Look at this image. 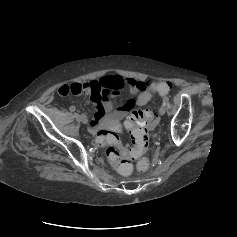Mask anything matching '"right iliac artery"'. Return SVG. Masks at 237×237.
Wrapping results in <instances>:
<instances>
[{
  "label": "right iliac artery",
  "mask_w": 237,
  "mask_h": 237,
  "mask_svg": "<svg viewBox=\"0 0 237 237\" xmlns=\"http://www.w3.org/2000/svg\"><path fill=\"white\" fill-rule=\"evenodd\" d=\"M69 110H70L71 112H74V111L76 110V108H75L74 106H71V107L69 108Z\"/></svg>",
  "instance_id": "right-iliac-artery-1"
}]
</instances>
